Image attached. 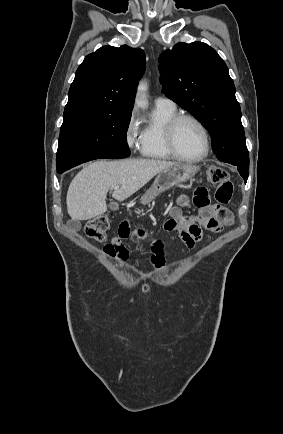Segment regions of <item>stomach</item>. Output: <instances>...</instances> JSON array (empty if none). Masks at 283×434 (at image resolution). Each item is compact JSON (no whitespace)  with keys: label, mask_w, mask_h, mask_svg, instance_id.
<instances>
[{"label":"stomach","mask_w":283,"mask_h":434,"mask_svg":"<svg viewBox=\"0 0 283 434\" xmlns=\"http://www.w3.org/2000/svg\"><path fill=\"white\" fill-rule=\"evenodd\" d=\"M199 170V168L192 164L177 163L158 173L152 186L141 197L142 204L150 203L162 192L168 190L174 185L190 180Z\"/></svg>","instance_id":"0dacf381"}]
</instances>
